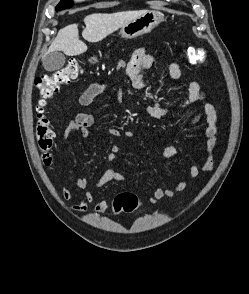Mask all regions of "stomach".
I'll list each match as a JSON object with an SVG mask.
<instances>
[{"instance_id":"0dacf381","label":"stomach","mask_w":249,"mask_h":294,"mask_svg":"<svg viewBox=\"0 0 249 294\" xmlns=\"http://www.w3.org/2000/svg\"><path fill=\"white\" fill-rule=\"evenodd\" d=\"M162 21H164V16L162 13L148 10L139 18L122 27V37L126 39H132L148 34Z\"/></svg>"}]
</instances>
